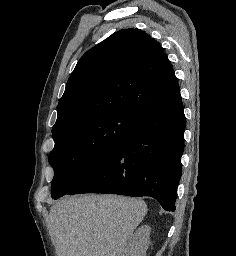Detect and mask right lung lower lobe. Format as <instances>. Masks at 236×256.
I'll return each instance as SVG.
<instances>
[{"mask_svg": "<svg viewBox=\"0 0 236 256\" xmlns=\"http://www.w3.org/2000/svg\"><path fill=\"white\" fill-rule=\"evenodd\" d=\"M185 116L181 95L147 114L66 194L151 196L175 210Z\"/></svg>", "mask_w": 236, "mask_h": 256, "instance_id": "right-lung-lower-lobe-1", "label": "right lung lower lobe"}]
</instances>
